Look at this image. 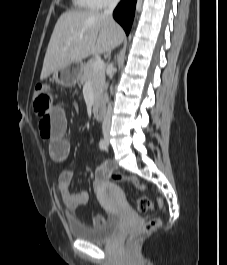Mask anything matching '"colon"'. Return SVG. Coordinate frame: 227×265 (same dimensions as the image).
Instances as JSON below:
<instances>
[{"mask_svg":"<svg viewBox=\"0 0 227 265\" xmlns=\"http://www.w3.org/2000/svg\"><path fill=\"white\" fill-rule=\"evenodd\" d=\"M51 98H52V93L49 86L44 83H37L34 92V101H35L34 105L40 120L41 116H45V112H50ZM110 178L114 181L128 182L140 190H145L147 188V186L144 183H142L138 178L134 176L121 175L120 173L110 172ZM157 203L159 206H161L162 200L158 198ZM137 206L141 212H147L153 208L152 202L145 197H142L137 200ZM160 225H161L160 219H151L143 226L141 232L151 233L157 230L160 227ZM136 238L137 234H130L126 237V241L128 243H132L133 241L136 240Z\"/></svg>","mask_w":227,"mask_h":265,"instance_id":"colon-1","label":"colon"}]
</instances>
